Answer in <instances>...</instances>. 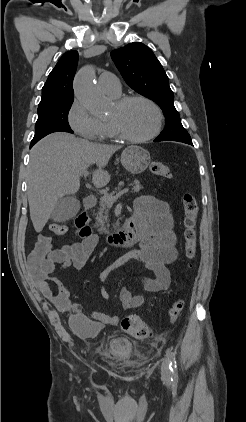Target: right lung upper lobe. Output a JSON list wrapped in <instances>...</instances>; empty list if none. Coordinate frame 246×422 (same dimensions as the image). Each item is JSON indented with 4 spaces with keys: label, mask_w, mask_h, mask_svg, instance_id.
<instances>
[{
    "label": "right lung upper lobe",
    "mask_w": 246,
    "mask_h": 422,
    "mask_svg": "<svg viewBox=\"0 0 246 422\" xmlns=\"http://www.w3.org/2000/svg\"><path fill=\"white\" fill-rule=\"evenodd\" d=\"M77 63V51H69L63 54L42 88V98L38 107L60 100L74 99L72 82Z\"/></svg>",
    "instance_id": "cb5924a9"
}]
</instances>
